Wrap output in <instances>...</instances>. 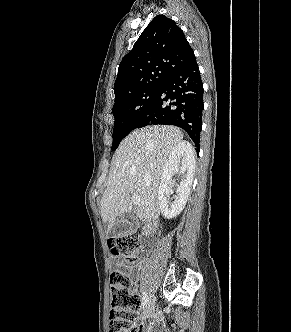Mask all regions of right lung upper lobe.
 <instances>
[{
    "label": "right lung upper lobe",
    "instance_id": "cb5924a9",
    "mask_svg": "<svg viewBox=\"0 0 291 332\" xmlns=\"http://www.w3.org/2000/svg\"><path fill=\"white\" fill-rule=\"evenodd\" d=\"M195 59L183 31L164 15L156 16L122 59L114 84L115 100L163 82L174 70Z\"/></svg>",
    "mask_w": 291,
    "mask_h": 332
}]
</instances>
